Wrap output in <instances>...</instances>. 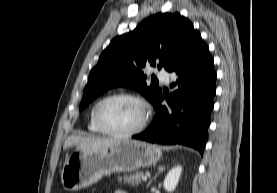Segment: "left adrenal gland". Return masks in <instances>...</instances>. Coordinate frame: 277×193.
I'll return each instance as SVG.
<instances>
[{
  "instance_id": "a2214340",
  "label": "left adrenal gland",
  "mask_w": 277,
  "mask_h": 193,
  "mask_svg": "<svg viewBox=\"0 0 277 193\" xmlns=\"http://www.w3.org/2000/svg\"><path fill=\"white\" fill-rule=\"evenodd\" d=\"M165 170V166H158V173L149 181L147 188L150 186L151 182L158 176L159 173Z\"/></svg>"
}]
</instances>
